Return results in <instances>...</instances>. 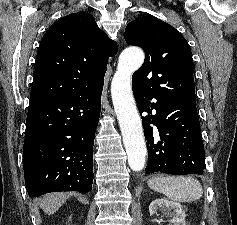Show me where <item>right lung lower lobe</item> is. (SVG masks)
Segmentation results:
<instances>
[{
  "instance_id": "98d812e1",
  "label": "right lung lower lobe",
  "mask_w": 237,
  "mask_h": 225,
  "mask_svg": "<svg viewBox=\"0 0 237 225\" xmlns=\"http://www.w3.org/2000/svg\"><path fill=\"white\" fill-rule=\"evenodd\" d=\"M103 83L83 86L59 100L29 105L23 168L30 196L92 189Z\"/></svg>"
}]
</instances>
